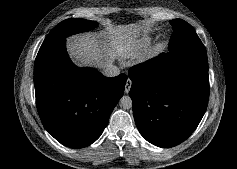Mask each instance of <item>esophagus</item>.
<instances>
[{
  "instance_id": "34e87169",
  "label": "esophagus",
  "mask_w": 237,
  "mask_h": 169,
  "mask_svg": "<svg viewBox=\"0 0 237 169\" xmlns=\"http://www.w3.org/2000/svg\"><path fill=\"white\" fill-rule=\"evenodd\" d=\"M131 85H132V81L130 79H127L126 85H125V93H129Z\"/></svg>"
}]
</instances>
